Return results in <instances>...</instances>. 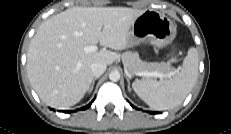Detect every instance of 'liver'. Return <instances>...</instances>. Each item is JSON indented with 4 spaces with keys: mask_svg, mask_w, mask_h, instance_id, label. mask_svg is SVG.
Listing matches in <instances>:
<instances>
[{
    "mask_svg": "<svg viewBox=\"0 0 231 134\" xmlns=\"http://www.w3.org/2000/svg\"><path fill=\"white\" fill-rule=\"evenodd\" d=\"M143 12L126 7H73L44 21L27 52L28 78L40 99L58 109L78 103L91 86V65H111L120 57L115 51L129 46L131 25ZM98 43L103 46L100 51H84Z\"/></svg>",
    "mask_w": 231,
    "mask_h": 134,
    "instance_id": "obj_1",
    "label": "liver"
}]
</instances>
